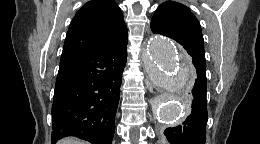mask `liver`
Masks as SVG:
<instances>
[{
  "label": "liver",
  "instance_id": "6515ba94",
  "mask_svg": "<svg viewBox=\"0 0 260 144\" xmlns=\"http://www.w3.org/2000/svg\"><path fill=\"white\" fill-rule=\"evenodd\" d=\"M59 144H86L84 141H80L75 138H65L59 141Z\"/></svg>",
  "mask_w": 260,
  "mask_h": 144
}]
</instances>
